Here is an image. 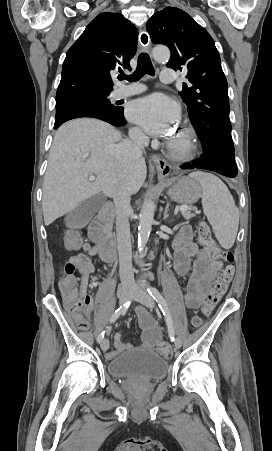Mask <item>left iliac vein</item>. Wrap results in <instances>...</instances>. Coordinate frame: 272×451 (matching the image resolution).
<instances>
[{
  "label": "left iliac vein",
  "instance_id": "4c4485c4",
  "mask_svg": "<svg viewBox=\"0 0 272 451\" xmlns=\"http://www.w3.org/2000/svg\"><path fill=\"white\" fill-rule=\"evenodd\" d=\"M133 290L134 292L132 296L136 301L144 304L150 309H154L155 307L154 299L148 292L137 286H134ZM174 345L176 348H179L181 346V339L176 338Z\"/></svg>",
  "mask_w": 272,
  "mask_h": 451
}]
</instances>
